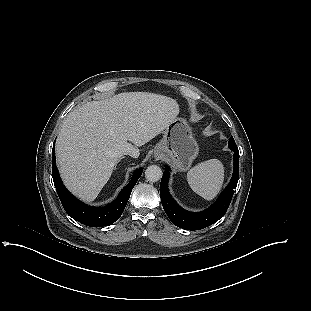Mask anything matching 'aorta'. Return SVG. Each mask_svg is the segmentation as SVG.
Here are the masks:
<instances>
[{
	"mask_svg": "<svg viewBox=\"0 0 311 311\" xmlns=\"http://www.w3.org/2000/svg\"><path fill=\"white\" fill-rule=\"evenodd\" d=\"M145 177L149 182H157L162 178V170L157 165H150L145 170Z\"/></svg>",
	"mask_w": 311,
	"mask_h": 311,
	"instance_id": "762f6f07",
	"label": "aorta"
}]
</instances>
